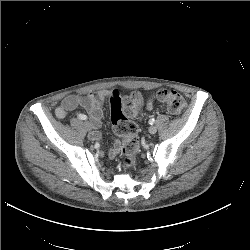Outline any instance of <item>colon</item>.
Instances as JSON below:
<instances>
[{"label":"colon","instance_id":"colon-1","mask_svg":"<svg viewBox=\"0 0 250 250\" xmlns=\"http://www.w3.org/2000/svg\"><path fill=\"white\" fill-rule=\"evenodd\" d=\"M157 98L172 115H180L186 107L184 97L173 90L162 89L158 91ZM108 99L112 127L115 134L121 138L122 165L127 169H132L136 164L139 138L137 127L131 118L136 116L141 107L142 97L139 93L122 96L119 91L113 90L110 92Z\"/></svg>","mask_w":250,"mask_h":250}]
</instances>
